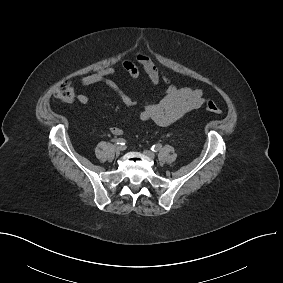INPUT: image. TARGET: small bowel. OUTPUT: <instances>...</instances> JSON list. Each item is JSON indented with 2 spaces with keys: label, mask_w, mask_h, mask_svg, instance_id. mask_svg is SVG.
Listing matches in <instances>:
<instances>
[{
  "label": "small bowel",
  "mask_w": 283,
  "mask_h": 283,
  "mask_svg": "<svg viewBox=\"0 0 283 283\" xmlns=\"http://www.w3.org/2000/svg\"><path fill=\"white\" fill-rule=\"evenodd\" d=\"M121 66L133 81L139 80L142 69L152 84L157 85L161 81L167 84L164 96L159 101H146L143 103L139 113V118L142 121L150 120L160 126H169L190 111L200 108L204 103L202 90L175 86L170 81L165 70L159 67L156 61L145 53H138L134 61L129 59L123 60ZM114 73L115 69L113 67H103L95 73L82 76L80 83L83 86L98 83L105 84L117 94L124 105H135L136 100L126 94L112 79ZM77 101L81 104H86L88 97L84 94H79ZM110 131L116 136L124 133V129L119 126L111 127Z\"/></svg>",
  "instance_id": "c3829d8e"
}]
</instances>
